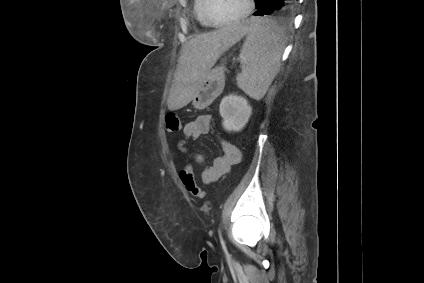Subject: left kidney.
<instances>
[{"instance_id":"left-kidney-1","label":"left kidney","mask_w":424,"mask_h":283,"mask_svg":"<svg viewBox=\"0 0 424 283\" xmlns=\"http://www.w3.org/2000/svg\"><path fill=\"white\" fill-rule=\"evenodd\" d=\"M223 118V128L227 131H241L249 121L252 108L247 99L242 96L231 94L222 99L219 107Z\"/></svg>"}]
</instances>
